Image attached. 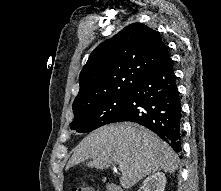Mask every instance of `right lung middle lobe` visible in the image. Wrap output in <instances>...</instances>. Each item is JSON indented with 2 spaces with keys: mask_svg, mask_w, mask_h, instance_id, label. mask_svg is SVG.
Returning a JSON list of instances; mask_svg holds the SVG:
<instances>
[{
  "mask_svg": "<svg viewBox=\"0 0 221 191\" xmlns=\"http://www.w3.org/2000/svg\"><path fill=\"white\" fill-rule=\"evenodd\" d=\"M131 96L132 91L123 92L74 112L75 118L70 124L71 129L86 133L116 122L125 112Z\"/></svg>",
  "mask_w": 221,
  "mask_h": 191,
  "instance_id": "dd1d6c3e",
  "label": "right lung middle lobe"
}]
</instances>
